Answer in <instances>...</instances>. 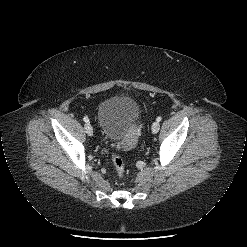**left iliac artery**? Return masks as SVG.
<instances>
[{"label":"left iliac artery","instance_id":"left-iliac-artery-1","mask_svg":"<svg viewBox=\"0 0 247 247\" xmlns=\"http://www.w3.org/2000/svg\"><path fill=\"white\" fill-rule=\"evenodd\" d=\"M158 122H160L161 120H162V118L159 116V117H157V119H156Z\"/></svg>","mask_w":247,"mask_h":247}]
</instances>
